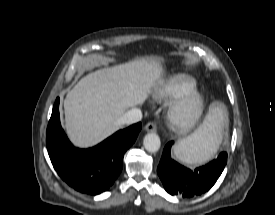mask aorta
<instances>
[{"label":"aorta","mask_w":275,"mask_h":215,"mask_svg":"<svg viewBox=\"0 0 275 215\" xmlns=\"http://www.w3.org/2000/svg\"><path fill=\"white\" fill-rule=\"evenodd\" d=\"M143 145L149 152H157L160 149V138L156 133H149L144 137Z\"/></svg>","instance_id":"1"}]
</instances>
